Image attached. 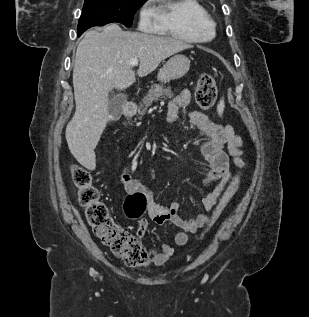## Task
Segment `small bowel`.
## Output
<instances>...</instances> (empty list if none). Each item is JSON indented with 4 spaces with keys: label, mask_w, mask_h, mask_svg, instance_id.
Segmentation results:
<instances>
[{
    "label": "small bowel",
    "mask_w": 309,
    "mask_h": 317,
    "mask_svg": "<svg viewBox=\"0 0 309 317\" xmlns=\"http://www.w3.org/2000/svg\"><path fill=\"white\" fill-rule=\"evenodd\" d=\"M189 101L190 92L188 90L183 89L177 93L169 103L168 120L171 122L176 120L179 110L184 108ZM188 118L190 124L199 130L202 137L200 153L206 165L203 185L212 186V190L204 196L202 203L205 210L210 211L215 208L225 188L235 178L229 170V157L233 158L239 174L244 167L242 139L230 125L217 124L200 112H191ZM121 182L130 194L141 193L145 195L147 215L152 221L157 224L171 222L180 228V231L175 235V245H164L161 252L151 257V261L156 265L166 262L173 255L176 247L183 246L188 242L189 234L197 232L210 222L211 216L207 213H200L192 220L182 219L178 215L180 204L176 201L168 205L156 202L140 182L132 179L129 167L124 169ZM147 226L146 218L138 220L140 235L146 232Z\"/></svg>",
    "instance_id": "c3829d8e"
}]
</instances>
